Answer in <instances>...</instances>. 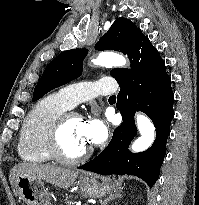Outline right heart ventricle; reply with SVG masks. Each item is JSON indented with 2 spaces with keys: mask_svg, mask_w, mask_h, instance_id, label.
I'll return each instance as SVG.
<instances>
[{
  "mask_svg": "<svg viewBox=\"0 0 199 205\" xmlns=\"http://www.w3.org/2000/svg\"><path fill=\"white\" fill-rule=\"evenodd\" d=\"M69 107L59 94L41 99L26 117L18 143L20 157L29 163L46 164L52 159L45 151V137L55 119Z\"/></svg>",
  "mask_w": 199,
  "mask_h": 205,
  "instance_id": "right-heart-ventricle-1",
  "label": "right heart ventricle"
}]
</instances>
